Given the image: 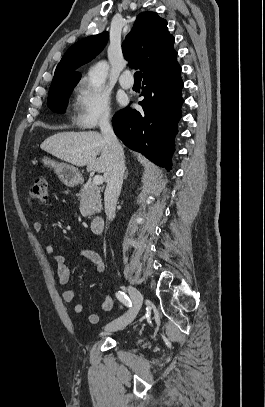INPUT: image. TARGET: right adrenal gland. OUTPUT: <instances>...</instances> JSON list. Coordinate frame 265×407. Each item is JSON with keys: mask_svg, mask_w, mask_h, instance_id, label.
<instances>
[{"mask_svg": "<svg viewBox=\"0 0 265 407\" xmlns=\"http://www.w3.org/2000/svg\"><path fill=\"white\" fill-rule=\"evenodd\" d=\"M127 175H128V171L126 172V176H125L126 178H127Z\"/></svg>", "mask_w": 265, "mask_h": 407, "instance_id": "1", "label": "right adrenal gland"}]
</instances>
